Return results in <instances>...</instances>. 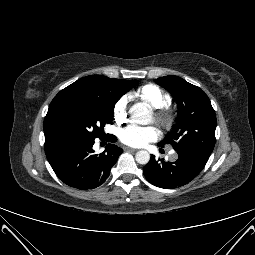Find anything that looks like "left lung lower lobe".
<instances>
[{"label": "left lung lower lobe", "instance_id": "1", "mask_svg": "<svg viewBox=\"0 0 255 255\" xmlns=\"http://www.w3.org/2000/svg\"><path fill=\"white\" fill-rule=\"evenodd\" d=\"M177 153L178 159L175 162L155 160V156H151L143 169L146 179L151 184L165 189L183 186L202 171L210 157L201 152L188 150L177 151Z\"/></svg>", "mask_w": 255, "mask_h": 255}]
</instances>
